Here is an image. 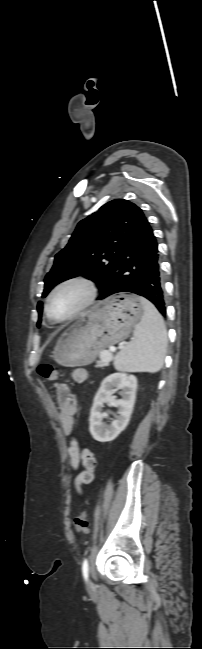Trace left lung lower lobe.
Wrapping results in <instances>:
<instances>
[{
  "label": "left lung lower lobe",
  "instance_id": "0a47b994",
  "mask_svg": "<svg viewBox=\"0 0 202 649\" xmlns=\"http://www.w3.org/2000/svg\"><path fill=\"white\" fill-rule=\"evenodd\" d=\"M131 292L150 300L165 316L159 252L152 229L144 217L126 241L111 281L98 299Z\"/></svg>",
  "mask_w": 202,
  "mask_h": 649
}]
</instances>
